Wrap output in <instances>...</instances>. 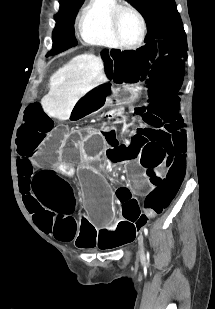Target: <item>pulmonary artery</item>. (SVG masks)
<instances>
[{
  "mask_svg": "<svg viewBox=\"0 0 215 309\" xmlns=\"http://www.w3.org/2000/svg\"><path fill=\"white\" fill-rule=\"evenodd\" d=\"M93 16H106L110 8H114L115 3L111 0H96L91 3Z\"/></svg>",
  "mask_w": 215,
  "mask_h": 309,
  "instance_id": "pulmonary-artery-1",
  "label": "pulmonary artery"
}]
</instances>
